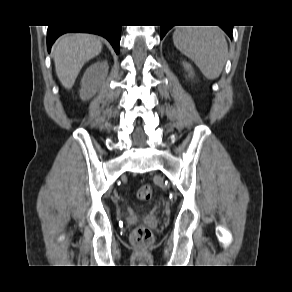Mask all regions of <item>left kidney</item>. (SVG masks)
<instances>
[{
  "mask_svg": "<svg viewBox=\"0 0 292 292\" xmlns=\"http://www.w3.org/2000/svg\"><path fill=\"white\" fill-rule=\"evenodd\" d=\"M182 65H183L184 69L188 72V76L191 78L194 77V71H193L191 65L187 62H183Z\"/></svg>",
  "mask_w": 292,
  "mask_h": 292,
  "instance_id": "1",
  "label": "left kidney"
}]
</instances>
